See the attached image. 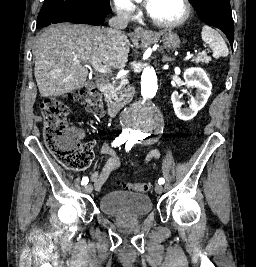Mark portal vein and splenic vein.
<instances>
[{
	"instance_id": "portal-vein-and-splenic-vein-1",
	"label": "portal vein and splenic vein",
	"mask_w": 256,
	"mask_h": 267,
	"mask_svg": "<svg viewBox=\"0 0 256 267\" xmlns=\"http://www.w3.org/2000/svg\"><path fill=\"white\" fill-rule=\"evenodd\" d=\"M192 56L191 55H184L183 59L180 60V63L185 64L186 60H191ZM92 68L96 70V72H101V74H107V72H111V68H107V66H102L101 62H92Z\"/></svg>"
}]
</instances>
